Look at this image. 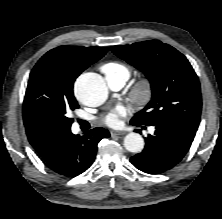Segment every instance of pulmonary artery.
Wrapping results in <instances>:
<instances>
[{
	"mask_svg": "<svg viewBox=\"0 0 222 219\" xmlns=\"http://www.w3.org/2000/svg\"><path fill=\"white\" fill-rule=\"evenodd\" d=\"M106 81L111 90H119L124 86L126 79L121 75H113L106 76ZM153 131L154 128H150V132L152 133Z\"/></svg>",
	"mask_w": 222,
	"mask_h": 219,
	"instance_id": "obj_1",
	"label": "pulmonary artery"
}]
</instances>
